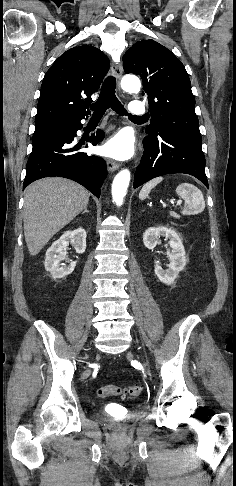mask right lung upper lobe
I'll return each instance as SVG.
<instances>
[{"label":"right lung upper lobe","mask_w":236,"mask_h":486,"mask_svg":"<svg viewBox=\"0 0 236 486\" xmlns=\"http://www.w3.org/2000/svg\"><path fill=\"white\" fill-rule=\"evenodd\" d=\"M108 70L109 59L93 46L73 47L63 53L44 76L35 126L90 114L86 109L92 102L91 95L98 90Z\"/></svg>","instance_id":"1"}]
</instances>
